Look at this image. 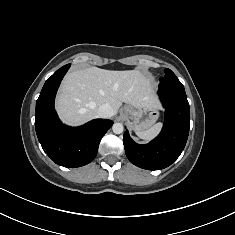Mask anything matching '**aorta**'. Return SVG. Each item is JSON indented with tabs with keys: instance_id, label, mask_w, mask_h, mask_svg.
I'll list each match as a JSON object with an SVG mask.
<instances>
[{
	"instance_id": "1",
	"label": "aorta",
	"mask_w": 235,
	"mask_h": 235,
	"mask_svg": "<svg viewBox=\"0 0 235 235\" xmlns=\"http://www.w3.org/2000/svg\"><path fill=\"white\" fill-rule=\"evenodd\" d=\"M112 130L115 134H121L124 130L123 124H121V123L113 124Z\"/></svg>"
}]
</instances>
